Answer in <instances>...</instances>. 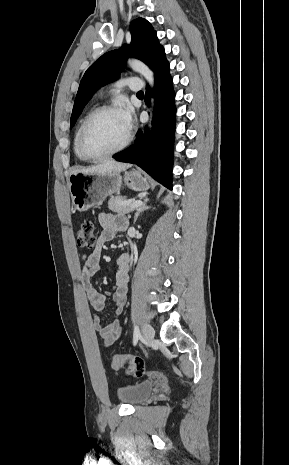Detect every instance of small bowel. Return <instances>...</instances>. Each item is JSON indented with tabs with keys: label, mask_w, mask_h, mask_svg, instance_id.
<instances>
[{
	"label": "small bowel",
	"mask_w": 289,
	"mask_h": 465,
	"mask_svg": "<svg viewBox=\"0 0 289 465\" xmlns=\"http://www.w3.org/2000/svg\"><path fill=\"white\" fill-rule=\"evenodd\" d=\"M99 223L102 230L98 236L95 249L91 254L82 257L83 266L80 280L86 296L93 308L98 313L105 308L107 296L98 292L94 286L93 279L100 270L101 252L105 243L113 240L116 235L125 230L126 220L116 214H99ZM129 282V255L122 254L117 262L115 274V289L111 294V301L115 306V318L108 323L101 321L98 315L94 317V327L100 333L105 347L113 345L122 335V328L118 316L123 312L127 298Z\"/></svg>",
	"instance_id": "1"
}]
</instances>
